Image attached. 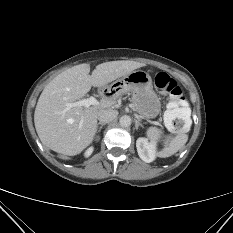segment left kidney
I'll return each mask as SVG.
<instances>
[{
  "label": "left kidney",
  "instance_id": "5707ae66",
  "mask_svg": "<svg viewBox=\"0 0 233 233\" xmlns=\"http://www.w3.org/2000/svg\"><path fill=\"white\" fill-rule=\"evenodd\" d=\"M136 148L139 157L146 163H150L156 158V143L149 142L146 138L140 137L136 141Z\"/></svg>",
  "mask_w": 233,
  "mask_h": 233
}]
</instances>
